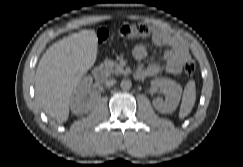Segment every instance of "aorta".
<instances>
[{"label":"aorta","mask_w":243,"mask_h":167,"mask_svg":"<svg viewBox=\"0 0 243 167\" xmlns=\"http://www.w3.org/2000/svg\"><path fill=\"white\" fill-rule=\"evenodd\" d=\"M120 86L123 90H129L132 87V83L130 80L124 79L121 81Z\"/></svg>","instance_id":"aorta-1"}]
</instances>
